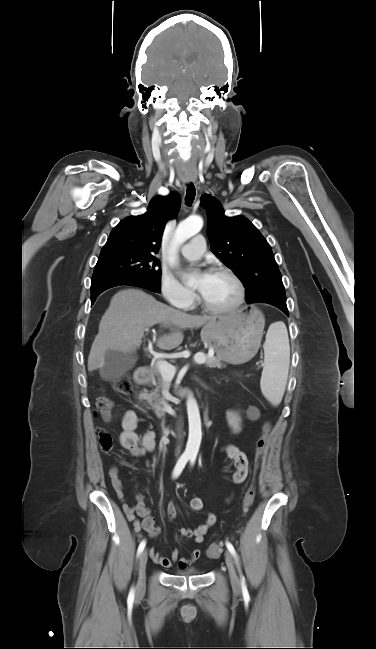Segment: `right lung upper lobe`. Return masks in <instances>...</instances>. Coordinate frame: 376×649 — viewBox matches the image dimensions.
<instances>
[{
    "label": "right lung upper lobe",
    "instance_id": "cb5924a9",
    "mask_svg": "<svg viewBox=\"0 0 376 649\" xmlns=\"http://www.w3.org/2000/svg\"><path fill=\"white\" fill-rule=\"evenodd\" d=\"M180 205V196L175 192L154 197L145 214L120 221L111 231L101 254L125 251L156 253L165 224L177 216Z\"/></svg>",
    "mask_w": 376,
    "mask_h": 649
}]
</instances>
